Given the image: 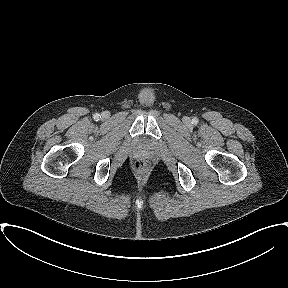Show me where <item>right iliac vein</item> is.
Listing matches in <instances>:
<instances>
[{
  "mask_svg": "<svg viewBox=\"0 0 288 288\" xmlns=\"http://www.w3.org/2000/svg\"><path fill=\"white\" fill-rule=\"evenodd\" d=\"M102 118H108V113H103Z\"/></svg>",
  "mask_w": 288,
  "mask_h": 288,
  "instance_id": "1",
  "label": "right iliac vein"
}]
</instances>
